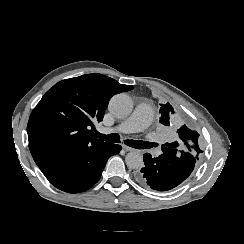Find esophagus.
Wrapping results in <instances>:
<instances>
[{
    "label": "esophagus",
    "mask_w": 244,
    "mask_h": 244,
    "mask_svg": "<svg viewBox=\"0 0 244 244\" xmlns=\"http://www.w3.org/2000/svg\"><path fill=\"white\" fill-rule=\"evenodd\" d=\"M122 148L126 151V152H132L134 151L133 148L129 147V146H126V145H123Z\"/></svg>",
    "instance_id": "34e87169"
}]
</instances>
